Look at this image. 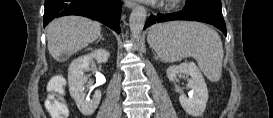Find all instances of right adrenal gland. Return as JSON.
<instances>
[{
	"mask_svg": "<svg viewBox=\"0 0 273 118\" xmlns=\"http://www.w3.org/2000/svg\"><path fill=\"white\" fill-rule=\"evenodd\" d=\"M100 40H104V38H103V36H102V35H100V37H99V39H98L97 43H98Z\"/></svg>",
	"mask_w": 273,
	"mask_h": 118,
	"instance_id": "obj_1",
	"label": "right adrenal gland"
}]
</instances>
